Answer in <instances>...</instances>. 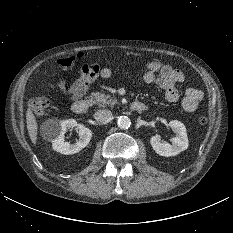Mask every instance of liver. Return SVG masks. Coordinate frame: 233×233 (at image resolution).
I'll return each mask as SVG.
<instances>
[{"label":"liver","instance_id":"obj_1","mask_svg":"<svg viewBox=\"0 0 233 233\" xmlns=\"http://www.w3.org/2000/svg\"><path fill=\"white\" fill-rule=\"evenodd\" d=\"M26 123H27V130H28L29 137L32 143L35 144L37 141L38 125H37L36 118L33 112L30 110V108H28L26 112Z\"/></svg>","mask_w":233,"mask_h":233}]
</instances>
